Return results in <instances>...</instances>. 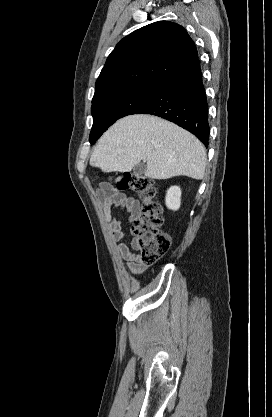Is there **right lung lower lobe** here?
Listing matches in <instances>:
<instances>
[{
  "instance_id": "obj_1",
  "label": "right lung lower lobe",
  "mask_w": 272,
  "mask_h": 417,
  "mask_svg": "<svg viewBox=\"0 0 272 417\" xmlns=\"http://www.w3.org/2000/svg\"><path fill=\"white\" fill-rule=\"evenodd\" d=\"M133 114H152L181 126L208 145V104L197 59L185 65L166 81Z\"/></svg>"
}]
</instances>
